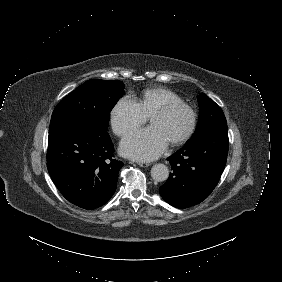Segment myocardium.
<instances>
[{
    "instance_id": "f54148a6",
    "label": "myocardium",
    "mask_w": 282,
    "mask_h": 282,
    "mask_svg": "<svg viewBox=\"0 0 282 282\" xmlns=\"http://www.w3.org/2000/svg\"><path fill=\"white\" fill-rule=\"evenodd\" d=\"M183 111L187 116V125L183 131V133L177 137L176 139H173L170 142L172 145H180L187 141L190 136L192 135L195 125H196V117L194 111L189 107L187 104L181 102V101H172L165 105L162 108L154 110L151 115L149 116V121L154 116H165L168 115L174 111Z\"/></svg>"
}]
</instances>
